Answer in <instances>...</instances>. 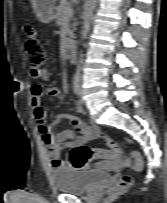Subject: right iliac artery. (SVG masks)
<instances>
[{
  "mask_svg": "<svg viewBox=\"0 0 167 203\" xmlns=\"http://www.w3.org/2000/svg\"><path fill=\"white\" fill-rule=\"evenodd\" d=\"M79 90H80V85H79V80L77 77L74 78L73 80V91L75 94H79Z\"/></svg>",
  "mask_w": 167,
  "mask_h": 203,
  "instance_id": "obj_1",
  "label": "right iliac artery"
}]
</instances>
